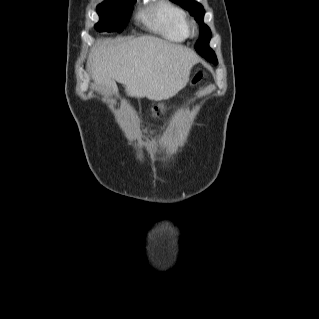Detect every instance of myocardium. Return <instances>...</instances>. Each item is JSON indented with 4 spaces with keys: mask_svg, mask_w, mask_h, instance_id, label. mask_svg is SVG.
Masks as SVG:
<instances>
[{
    "mask_svg": "<svg viewBox=\"0 0 319 319\" xmlns=\"http://www.w3.org/2000/svg\"><path fill=\"white\" fill-rule=\"evenodd\" d=\"M190 33L191 34H195L196 33V27L193 23H191V26H190Z\"/></svg>",
    "mask_w": 319,
    "mask_h": 319,
    "instance_id": "myocardium-1",
    "label": "myocardium"
}]
</instances>
